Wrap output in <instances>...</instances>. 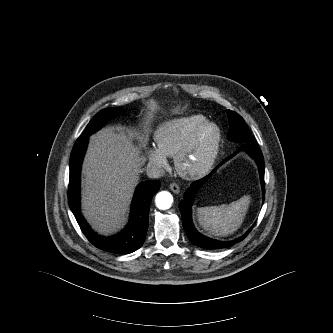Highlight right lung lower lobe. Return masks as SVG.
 <instances>
[{
	"instance_id": "1",
	"label": "right lung lower lobe",
	"mask_w": 333,
	"mask_h": 333,
	"mask_svg": "<svg viewBox=\"0 0 333 333\" xmlns=\"http://www.w3.org/2000/svg\"><path fill=\"white\" fill-rule=\"evenodd\" d=\"M89 136L82 135L76 141L70 157V179L68 202L82 232L97 248L111 253L129 254L137 250L144 242L149 208L153 195L159 190V181H148L140 184L134 194L131 217L125 230L112 237L97 235L81 216L80 207V169L87 147Z\"/></svg>"
}]
</instances>
